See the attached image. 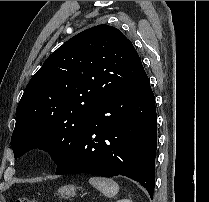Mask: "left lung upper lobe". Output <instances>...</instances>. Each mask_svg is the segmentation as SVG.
<instances>
[{"label":"left lung upper lobe","mask_w":209,"mask_h":202,"mask_svg":"<svg viewBox=\"0 0 209 202\" xmlns=\"http://www.w3.org/2000/svg\"><path fill=\"white\" fill-rule=\"evenodd\" d=\"M144 70L133 44L106 24L54 51L29 81L16 109L15 158L40 148L57 169L74 152L88 114Z\"/></svg>","instance_id":"1"}]
</instances>
